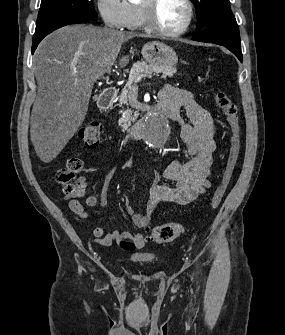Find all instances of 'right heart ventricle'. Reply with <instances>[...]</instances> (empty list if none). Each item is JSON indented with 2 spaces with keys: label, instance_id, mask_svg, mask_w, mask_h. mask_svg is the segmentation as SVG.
Listing matches in <instances>:
<instances>
[{
  "label": "right heart ventricle",
  "instance_id": "obj_1",
  "mask_svg": "<svg viewBox=\"0 0 285 335\" xmlns=\"http://www.w3.org/2000/svg\"><path fill=\"white\" fill-rule=\"evenodd\" d=\"M132 11L133 16L128 22L127 27L132 30H140L144 27L143 18V1H129L128 2ZM163 60H172L171 58H164Z\"/></svg>",
  "mask_w": 285,
  "mask_h": 335
}]
</instances>
